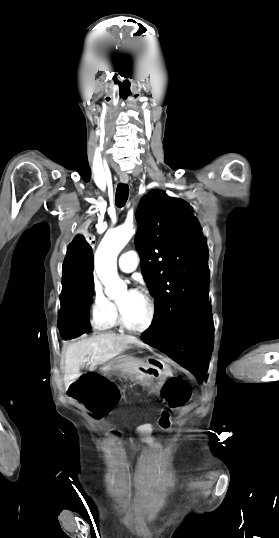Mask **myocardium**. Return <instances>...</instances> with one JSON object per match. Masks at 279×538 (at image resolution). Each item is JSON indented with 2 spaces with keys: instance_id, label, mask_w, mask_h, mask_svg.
<instances>
[{
  "instance_id": "f54148a6",
  "label": "myocardium",
  "mask_w": 279,
  "mask_h": 538,
  "mask_svg": "<svg viewBox=\"0 0 279 538\" xmlns=\"http://www.w3.org/2000/svg\"><path fill=\"white\" fill-rule=\"evenodd\" d=\"M103 226V223L97 224V228H100ZM131 292L140 295L146 302L148 307V316L145 321V323L141 327H132L126 320L124 311L122 308L121 303L117 300V310H118V323L119 325L125 329L127 332L135 334V335H141L146 333L150 328L152 327L154 321H155V315H156V309L155 304L151 296L144 290H130Z\"/></svg>"
}]
</instances>
